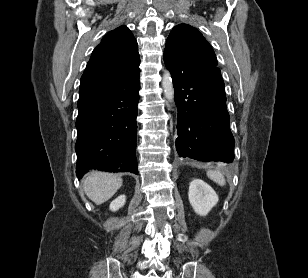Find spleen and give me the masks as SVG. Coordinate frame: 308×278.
I'll return each mask as SVG.
<instances>
[{"instance_id":"3e777b00","label":"spleen","mask_w":308,"mask_h":278,"mask_svg":"<svg viewBox=\"0 0 308 278\" xmlns=\"http://www.w3.org/2000/svg\"><path fill=\"white\" fill-rule=\"evenodd\" d=\"M207 176L220 186H224L226 184L224 175L219 170H209L207 171Z\"/></svg>"}]
</instances>
